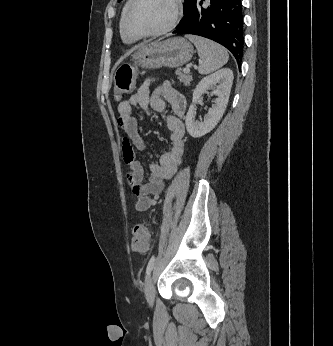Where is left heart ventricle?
Instances as JSON below:
<instances>
[{"instance_id":"b2bd125f","label":"left heart ventricle","mask_w":333,"mask_h":346,"mask_svg":"<svg viewBox=\"0 0 333 346\" xmlns=\"http://www.w3.org/2000/svg\"><path fill=\"white\" fill-rule=\"evenodd\" d=\"M173 14L172 0H140L131 14L129 25L136 32H154L166 27Z\"/></svg>"}]
</instances>
